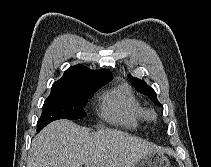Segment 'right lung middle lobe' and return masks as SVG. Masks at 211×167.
I'll list each match as a JSON object with an SVG mask.
<instances>
[{"mask_svg": "<svg viewBox=\"0 0 211 167\" xmlns=\"http://www.w3.org/2000/svg\"><path fill=\"white\" fill-rule=\"evenodd\" d=\"M108 81H91L65 88L51 89L42 107V115L37 122L39 132L50 122L58 119L75 120L86 116L83 107L88 99Z\"/></svg>", "mask_w": 211, "mask_h": 167, "instance_id": "obj_1", "label": "right lung middle lobe"}]
</instances>
